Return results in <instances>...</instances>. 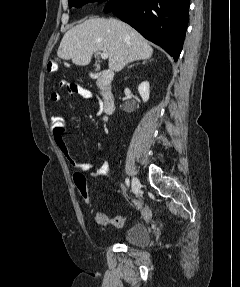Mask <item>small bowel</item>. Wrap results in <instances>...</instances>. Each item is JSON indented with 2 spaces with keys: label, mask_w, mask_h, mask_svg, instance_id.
Instances as JSON below:
<instances>
[{
  "label": "small bowel",
  "mask_w": 240,
  "mask_h": 287,
  "mask_svg": "<svg viewBox=\"0 0 240 287\" xmlns=\"http://www.w3.org/2000/svg\"><path fill=\"white\" fill-rule=\"evenodd\" d=\"M70 95L72 96H80L85 99L96 100L98 103L99 111L101 112L102 106L101 103L97 100L96 95L80 86L75 85L74 87L68 88ZM50 99L53 103H59L62 100V95L59 92H53L50 96ZM53 140L60 152L65 156L68 163L71 165L73 169L89 171L92 175L96 177H109L111 172V165L109 160H105L103 164L96 170V161L92 162H80L70 151L69 146L67 145L64 134L63 135H54ZM101 151L100 145L97 147L98 154ZM140 216L143 219H148L150 217V210L147 206L138 205L137 207Z\"/></svg>",
  "instance_id": "obj_1"
}]
</instances>
